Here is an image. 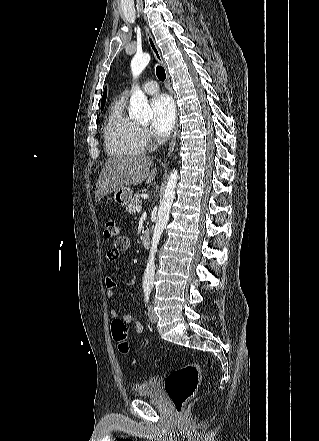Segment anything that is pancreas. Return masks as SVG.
<instances>
[{"instance_id": "cf45deb5", "label": "pancreas", "mask_w": 319, "mask_h": 441, "mask_svg": "<svg viewBox=\"0 0 319 441\" xmlns=\"http://www.w3.org/2000/svg\"><path fill=\"white\" fill-rule=\"evenodd\" d=\"M141 203L140 200V195L137 193L134 195V197L132 198L130 204L127 205L126 207V211L129 214H133L136 212V207L139 206V204Z\"/></svg>"}]
</instances>
